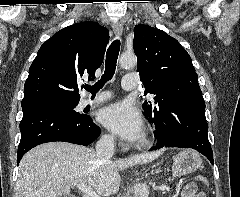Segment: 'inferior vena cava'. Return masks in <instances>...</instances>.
Wrapping results in <instances>:
<instances>
[{
	"label": "inferior vena cava",
	"mask_w": 240,
	"mask_h": 197,
	"mask_svg": "<svg viewBox=\"0 0 240 197\" xmlns=\"http://www.w3.org/2000/svg\"><path fill=\"white\" fill-rule=\"evenodd\" d=\"M115 137L113 135L102 136L96 144V154L102 160H109L115 151Z\"/></svg>",
	"instance_id": "inferior-vena-cava-1"
}]
</instances>
